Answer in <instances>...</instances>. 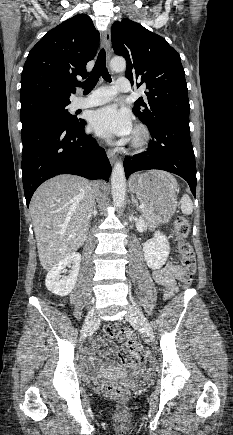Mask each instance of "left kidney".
<instances>
[{"label":"left kidney","mask_w":233,"mask_h":435,"mask_svg":"<svg viewBox=\"0 0 233 435\" xmlns=\"http://www.w3.org/2000/svg\"><path fill=\"white\" fill-rule=\"evenodd\" d=\"M145 261L151 269L161 268L170 253V246L167 237L161 232L154 233V238L143 244Z\"/></svg>","instance_id":"5707ae66"}]
</instances>
